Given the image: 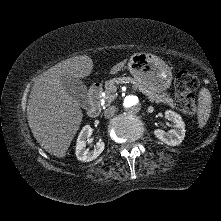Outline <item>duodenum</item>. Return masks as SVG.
Returning a JSON list of instances; mask_svg holds the SVG:
<instances>
[{"instance_id":"obj_1","label":"duodenum","mask_w":221,"mask_h":221,"mask_svg":"<svg viewBox=\"0 0 221 221\" xmlns=\"http://www.w3.org/2000/svg\"><path fill=\"white\" fill-rule=\"evenodd\" d=\"M103 88L100 83L92 85L89 89V108L88 115L92 118H95L100 113V100Z\"/></svg>"}]
</instances>
